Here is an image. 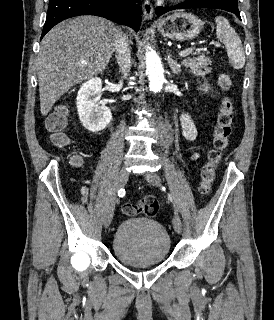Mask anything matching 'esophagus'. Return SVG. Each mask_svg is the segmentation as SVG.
I'll return each mask as SVG.
<instances>
[{
  "instance_id": "1",
  "label": "esophagus",
  "mask_w": 274,
  "mask_h": 320,
  "mask_svg": "<svg viewBox=\"0 0 274 320\" xmlns=\"http://www.w3.org/2000/svg\"><path fill=\"white\" fill-rule=\"evenodd\" d=\"M154 14L153 5L149 0L143 1V17L144 20H151Z\"/></svg>"
}]
</instances>
